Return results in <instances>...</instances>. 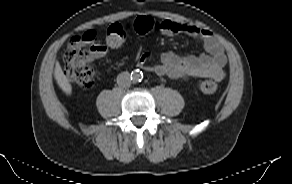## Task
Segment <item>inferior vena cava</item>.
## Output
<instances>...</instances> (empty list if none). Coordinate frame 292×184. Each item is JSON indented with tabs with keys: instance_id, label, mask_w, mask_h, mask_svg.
<instances>
[{
	"instance_id": "obj_1",
	"label": "inferior vena cava",
	"mask_w": 292,
	"mask_h": 184,
	"mask_svg": "<svg viewBox=\"0 0 292 184\" xmlns=\"http://www.w3.org/2000/svg\"><path fill=\"white\" fill-rule=\"evenodd\" d=\"M117 84L120 87H129L131 85V78L128 72H122L117 76Z\"/></svg>"
}]
</instances>
